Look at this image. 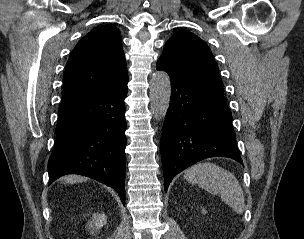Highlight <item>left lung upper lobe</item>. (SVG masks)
Masks as SVG:
<instances>
[{
	"mask_svg": "<svg viewBox=\"0 0 304 239\" xmlns=\"http://www.w3.org/2000/svg\"><path fill=\"white\" fill-rule=\"evenodd\" d=\"M158 61L192 83L224 95L218 65L210 48L197 35L177 30L165 44Z\"/></svg>",
	"mask_w": 304,
	"mask_h": 239,
	"instance_id": "obj_1",
	"label": "left lung upper lobe"
}]
</instances>
